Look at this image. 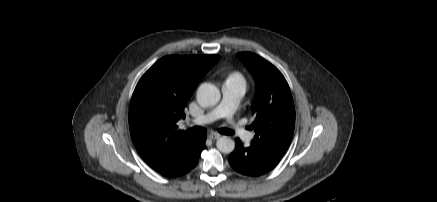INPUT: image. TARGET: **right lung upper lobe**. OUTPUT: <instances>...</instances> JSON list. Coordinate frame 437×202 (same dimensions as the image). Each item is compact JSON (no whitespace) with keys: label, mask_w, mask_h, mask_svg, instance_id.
I'll return each mask as SVG.
<instances>
[{"label":"right lung upper lobe","mask_w":437,"mask_h":202,"mask_svg":"<svg viewBox=\"0 0 437 202\" xmlns=\"http://www.w3.org/2000/svg\"><path fill=\"white\" fill-rule=\"evenodd\" d=\"M218 55L166 56L139 80L131 99L129 128L135 148L147 164L160 170L178 158L197 137L178 130L184 109L200 79Z\"/></svg>","instance_id":"1"}]
</instances>
